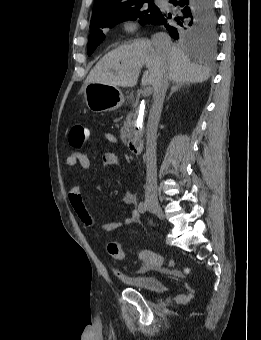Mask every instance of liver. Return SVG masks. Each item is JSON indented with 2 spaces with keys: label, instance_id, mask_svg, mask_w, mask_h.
Here are the masks:
<instances>
[{
  "label": "liver",
  "instance_id": "obj_1",
  "mask_svg": "<svg viewBox=\"0 0 261 340\" xmlns=\"http://www.w3.org/2000/svg\"><path fill=\"white\" fill-rule=\"evenodd\" d=\"M144 65L147 71L142 85L153 88L164 77L177 83H201L210 77L208 68L192 63L181 49L172 46L169 52L162 54L156 51L152 41L139 39L105 54L90 71L85 85L134 87Z\"/></svg>",
  "mask_w": 261,
  "mask_h": 340
}]
</instances>
